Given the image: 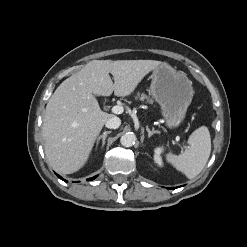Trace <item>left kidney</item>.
Returning a JSON list of instances; mask_svg holds the SVG:
<instances>
[{
	"mask_svg": "<svg viewBox=\"0 0 247 247\" xmlns=\"http://www.w3.org/2000/svg\"><path fill=\"white\" fill-rule=\"evenodd\" d=\"M164 151V147H156L154 149V161L156 164H158L160 167L163 166V161H162V157H161V154L163 153Z\"/></svg>",
	"mask_w": 247,
	"mask_h": 247,
	"instance_id": "5707ae66",
	"label": "left kidney"
}]
</instances>
